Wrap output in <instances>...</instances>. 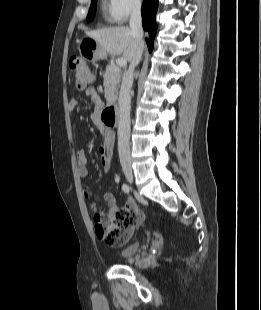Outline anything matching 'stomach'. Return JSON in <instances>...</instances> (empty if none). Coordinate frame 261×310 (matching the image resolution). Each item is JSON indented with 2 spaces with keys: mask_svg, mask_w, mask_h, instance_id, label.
I'll use <instances>...</instances> for the list:
<instances>
[{
  "mask_svg": "<svg viewBox=\"0 0 261 310\" xmlns=\"http://www.w3.org/2000/svg\"><path fill=\"white\" fill-rule=\"evenodd\" d=\"M79 52L87 61L95 62L104 57L99 43L92 38H85L79 44Z\"/></svg>",
  "mask_w": 261,
  "mask_h": 310,
  "instance_id": "0dacf381",
  "label": "stomach"
}]
</instances>
